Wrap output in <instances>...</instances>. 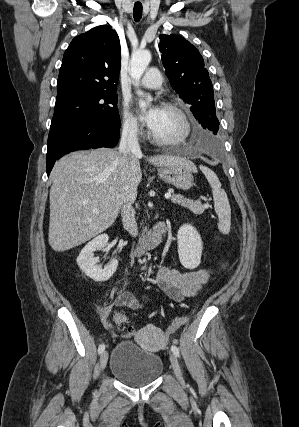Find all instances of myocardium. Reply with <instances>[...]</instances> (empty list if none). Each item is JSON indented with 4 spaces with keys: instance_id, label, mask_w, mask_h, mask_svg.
Wrapping results in <instances>:
<instances>
[{
    "instance_id": "obj_1",
    "label": "myocardium",
    "mask_w": 299,
    "mask_h": 427,
    "mask_svg": "<svg viewBox=\"0 0 299 427\" xmlns=\"http://www.w3.org/2000/svg\"><path fill=\"white\" fill-rule=\"evenodd\" d=\"M162 108L174 112L180 119L182 124V132L173 138H161L156 136L152 131L150 132V137L152 141L158 145L162 146H173L183 143L191 134V123L186 112L174 102H164Z\"/></svg>"
}]
</instances>
